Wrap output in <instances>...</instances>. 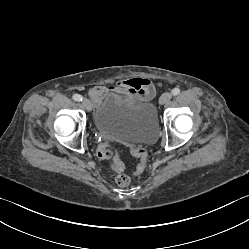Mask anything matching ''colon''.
Wrapping results in <instances>:
<instances>
[{
  "label": "colon",
  "mask_w": 249,
  "mask_h": 249,
  "mask_svg": "<svg viewBox=\"0 0 249 249\" xmlns=\"http://www.w3.org/2000/svg\"><path fill=\"white\" fill-rule=\"evenodd\" d=\"M133 153L140 159V162L135 170V174L139 175L143 173L146 168L147 149L143 146L137 147L133 150ZM98 155L101 158L112 159V168L116 172L120 173L123 170V163L117 158V152L113 147L107 145L101 146L99 148ZM115 181L120 187H125L130 184V178L125 174H118Z\"/></svg>",
  "instance_id": "obj_1"
}]
</instances>
